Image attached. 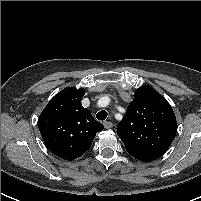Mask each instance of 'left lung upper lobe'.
<instances>
[{
	"instance_id": "obj_1",
	"label": "left lung upper lobe",
	"mask_w": 201,
	"mask_h": 201,
	"mask_svg": "<svg viewBox=\"0 0 201 201\" xmlns=\"http://www.w3.org/2000/svg\"><path fill=\"white\" fill-rule=\"evenodd\" d=\"M177 131L170 104L154 88L144 85L134 94L117 134L134 158L149 162L161 157L170 147Z\"/></svg>"
}]
</instances>
